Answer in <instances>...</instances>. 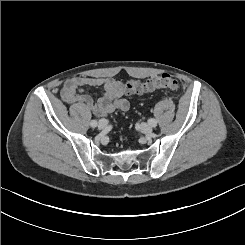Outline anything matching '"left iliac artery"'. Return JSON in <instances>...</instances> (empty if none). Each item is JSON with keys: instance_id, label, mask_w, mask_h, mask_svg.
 Returning a JSON list of instances; mask_svg holds the SVG:
<instances>
[{"instance_id": "44dca946", "label": "left iliac artery", "mask_w": 245, "mask_h": 245, "mask_svg": "<svg viewBox=\"0 0 245 245\" xmlns=\"http://www.w3.org/2000/svg\"><path fill=\"white\" fill-rule=\"evenodd\" d=\"M148 123H149L152 127L157 126V121H156L155 119H149V120H148Z\"/></svg>"}]
</instances>
